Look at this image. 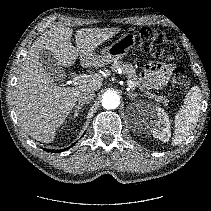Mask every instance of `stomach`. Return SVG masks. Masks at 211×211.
<instances>
[{
  "instance_id": "stomach-1",
  "label": "stomach",
  "mask_w": 211,
  "mask_h": 211,
  "mask_svg": "<svg viewBox=\"0 0 211 211\" xmlns=\"http://www.w3.org/2000/svg\"><path fill=\"white\" fill-rule=\"evenodd\" d=\"M136 43V36L132 33L122 34L110 46L104 48L100 56L103 63L115 62L127 55Z\"/></svg>"
}]
</instances>
